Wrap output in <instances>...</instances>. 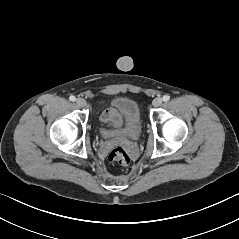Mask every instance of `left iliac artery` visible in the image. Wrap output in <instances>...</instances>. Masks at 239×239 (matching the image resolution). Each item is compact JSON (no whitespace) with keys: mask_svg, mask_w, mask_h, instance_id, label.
I'll use <instances>...</instances> for the list:
<instances>
[{"mask_svg":"<svg viewBox=\"0 0 239 239\" xmlns=\"http://www.w3.org/2000/svg\"><path fill=\"white\" fill-rule=\"evenodd\" d=\"M169 99H170V96H168V95L163 96V101L167 102V101H169Z\"/></svg>","mask_w":239,"mask_h":239,"instance_id":"left-iliac-artery-1","label":"left iliac artery"}]
</instances>
